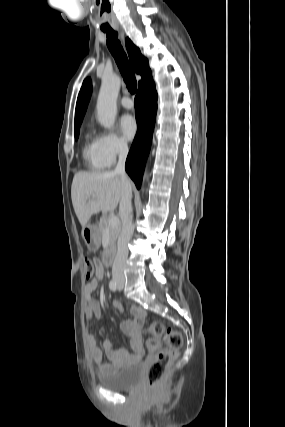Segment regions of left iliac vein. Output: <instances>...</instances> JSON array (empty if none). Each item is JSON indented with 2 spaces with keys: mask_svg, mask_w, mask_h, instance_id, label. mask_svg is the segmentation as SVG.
<instances>
[{
  "mask_svg": "<svg viewBox=\"0 0 285 427\" xmlns=\"http://www.w3.org/2000/svg\"><path fill=\"white\" fill-rule=\"evenodd\" d=\"M124 286V282H119L118 283V290H121Z\"/></svg>",
  "mask_w": 285,
  "mask_h": 427,
  "instance_id": "1",
  "label": "left iliac vein"
}]
</instances>
